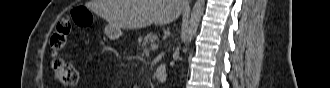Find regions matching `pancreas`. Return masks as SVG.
Listing matches in <instances>:
<instances>
[{
  "mask_svg": "<svg viewBox=\"0 0 330 88\" xmlns=\"http://www.w3.org/2000/svg\"><path fill=\"white\" fill-rule=\"evenodd\" d=\"M158 40V36L154 33H148L144 37L138 38V45H142L143 47L147 46L149 43H154Z\"/></svg>",
  "mask_w": 330,
  "mask_h": 88,
  "instance_id": "obj_1",
  "label": "pancreas"
}]
</instances>
